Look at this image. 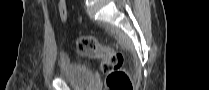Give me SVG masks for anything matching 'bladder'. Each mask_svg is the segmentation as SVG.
<instances>
[{"instance_id":"bladder-1","label":"bladder","mask_w":209,"mask_h":90,"mask_svg":"<svg viewBox=\"0 0 209 90\" xmlns=\"http://www.w3.org/2000/svg\"><path fill=\"white\" fill-rule=\"evenodd\" d=\"M58 76L78 89H88L96 87L92 70L81 62L72 61L65 55L60 56L58 60Z\"/></svg>"}]
</instances>
